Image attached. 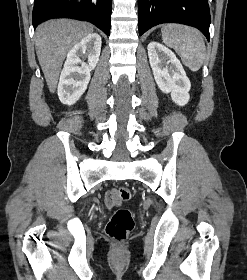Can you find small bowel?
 Listing matches in <instances>:
<instances>
[{"instance_id": "obj_1", "label": "small bowel", "mask_w": 247, "mask_h": 280, "mask_svg": "<svg viewBox=\"0 0 247 280\" xmlns=\"http://www.w3.org/2000/svg\"><path fill=\"white\" fill-rule=\"evenodd\" d=\"M105 203L107 206L112 207L116 205L118 202L114 199V190L107 192L105 196Z\"/></svg>"}]
</instances>
